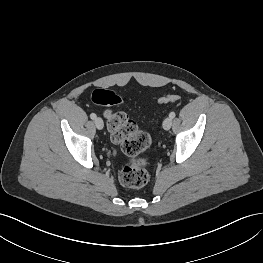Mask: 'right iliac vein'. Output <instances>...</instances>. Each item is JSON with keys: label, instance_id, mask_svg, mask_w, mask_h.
<instances>
[{"label": "right iliac vein", "instance_id": "1", "mask_svg": "<svg viewBox=\"0 0 263 263\" xmlns=\"http://www.w3.org/2000/svg\"><path fill=\"white\" fill-rule=\"evenodd\" d=\"M94 123H95V126L97 127V129H99V130L103 129L104 123L100 117L95 118Z\"/></svg>", "mask_w": 263, "mask_h": 263}]
</instances>
